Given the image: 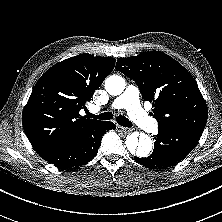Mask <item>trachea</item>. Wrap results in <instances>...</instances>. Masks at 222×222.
<instances>
[{"label":"trachea","instance_id":"3493384b","mask_svg":"<svg viewBox=\"0 0 222 222\" xmlns=\"http://www.w3.org/2000/svg\"><path fill=\"white\" fill-rule=\"evenodd\" d=\"M87 116L89 118H94V119H100V120H110L113 118V114L111 112H104L102 114L99 115H94L91 114L90 112H87ZM116 121L123 127H131L132 123L131 121H129L125 116L123 115H119L116 118Z\"/></svg>","mask_w":222,"mask_h":222}]
</instances>
